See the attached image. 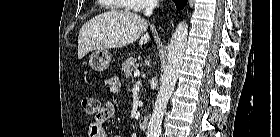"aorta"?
Listing matches in <instances>:
<instances>
[{
    "label": "aorta",
    "mask_w": 280,
    "mask_h": 137,
    "mask_svg": "<svg viewBox=\"0 0 280 137\" xmlns=\"http://www.w3.org/2000/svg\"><path fill=\"white\" fill-rule=\"evenodd\" d=\"M187 37L188 25L182 21L175 29L168 46V61L161 77L160 90L148 124L147 137H159L162 119L183 64Z\"/></svg>",
    "instance_id": "762f6f07"
}]
</instances>
